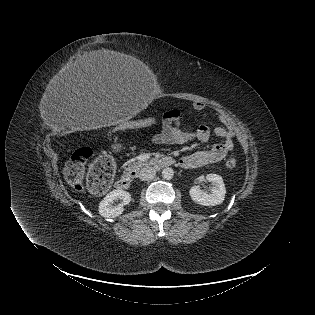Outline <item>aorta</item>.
<instances>
[{
	"label": "aorta",
	"mask_w": 315,
	"mask_h": 315,
	"mask_svg": "<svg viewBox=\"0 0 315 315\" xmlns=\"http://www.w3.org/2000/svg\"><path fill=\"white\" fill-rule=\"evenodd\" d=\"M173 176H174V171H173V169H171V168H165V169H163V171H162V177H163L164 179L170 180V179L173 178Z\"/></svg>",
	"instance_id": "obj_1"
}]
</instances>
